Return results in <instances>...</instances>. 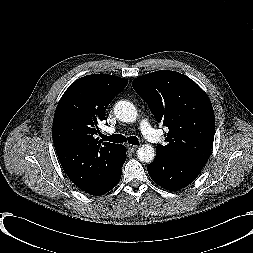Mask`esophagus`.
<instances>
[{"mask_svg": "<svg viewBox=\"0 0 253 253\" xmlns=\"http://www.w3.org/2000/svg\"><path fill=\"white\" fill-rule=\"evenodd\" d=\"M127 148H128L130 151L134 152V151L138 148V146L131 145V144H127Z\"/></svg>", "mask_w": 253, "mask_h": 253, "instance_id": "1", "label": "esophagus"}]
</instances>
